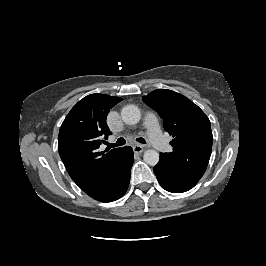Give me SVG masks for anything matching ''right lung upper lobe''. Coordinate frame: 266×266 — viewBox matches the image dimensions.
<instances>
[{"label": "right lung upper lobe", "instance_id": "obj_1", "mask_svg": "<svg viewBox=\"0 0 266 266\" xmlns=\"http://www.w3.org/2000/svg\"><path fill=\"white\" fill-rule=\"evenodd\" d=\"M121 100L104 94L88 95L71 109L59 131L58 151L64 166L90 197L105 188L122 152V148L99 151L111 134L107 114Z\"/></svg>", "mask_w": 266, "mask_h": 266}]
</instances>
